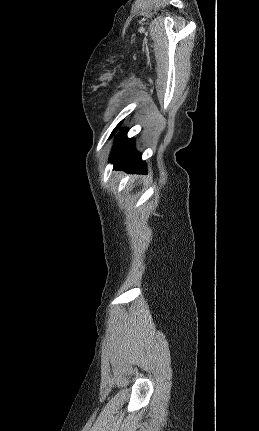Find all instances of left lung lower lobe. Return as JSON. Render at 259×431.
Here are the masks:
<instances>
[{
  "instance_id": "0a47b994",
  "label": "left lung lower lobe",
  "mask_w": 259,
  "mask_h": 431,
  "mask_svg": "<svg viewBox=\"0 0 259 431\" xmlns=\"http://www.w3.org/2000/svg\"><path fill=\"white\" fill-rule=\"evenodd\" d=\"M122 122L113 130V136L120 128ZM110 162L114 164V169H122L129 173H147L145 162L141 159V154L134 149L133 138L128 139L126 133H120L113 146Z\"/></svg>"
}]
</instances>
